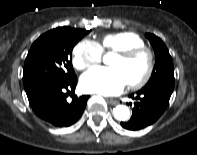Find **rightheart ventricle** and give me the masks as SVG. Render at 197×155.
Wrapping results in <instances>:
<instances>
[{
  "label": "right heart ventricle",
  "instance_id": "e07e8e85",
  "mask_svg": "<svg viewBox=\"0 0 197 155\" xmlns=\"http://www.w3.org/2000/svg\"><path fill=\"white\" fill-rule=\"evenodd\" d=\"M102 51H118L126 48L144 46V40L135 32L121 31L109 33L101 38L98 43Z\"/></svg>",
  "mask_w": 197,
  "mask_h": 155
}]
</instances>
